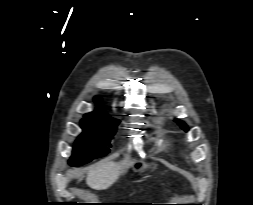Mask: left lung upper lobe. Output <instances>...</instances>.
<instances>
[{
    "instance_id": "1",
    "label": "left lung upper lobe",
    "mask_w": 253,
    "mask_h": 205,
    "mask_svg": "<svg viewBox=\"0 0 253 205\" xmlns=\"http://www.w3.org/2000/svg\"><path fill=\"white\" fill-rule=\"evenodd\" d=\"M176 122H178V124L180 125V127L183 128L185 131L188 130V127H187V125L184 122L179 121V120H176Z\"/></svg>"
}]
</instances>
